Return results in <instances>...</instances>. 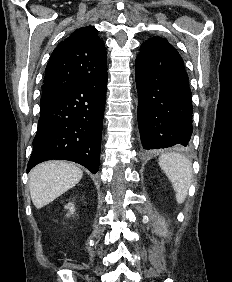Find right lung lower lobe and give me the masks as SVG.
<instances>
[{
	"label": "right lung lower lobe",
	"mask_w": 232,
	"mask_h": 282,
	"mask_svg": "<svg viewBox=\"0 0 232 282\" xmlns=\"http://www.w3.org/2000/svg\"><path fill=\"white\" fill-rule=\"evenodd\" d=\"M108 74L67 89L40 114L27 172L51 160H69L99 170Z\"/></svg>",
	"instance_id": "1"
}]
</instances>
